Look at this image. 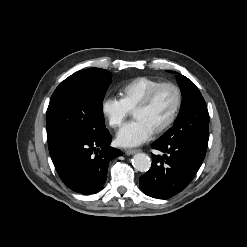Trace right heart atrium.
Returning <instances> with one entry per match:
<instances>
[{
	"instance_id": "obj_1",
	"label": "right heart atrium",
	"mask_w": 247,
	"mask_h": 247,
	"mask_svg": "<svg viewBox=\"0 0 247 247\" xmlns=\"http://www.w3.org/2000/svg\"><path fill=\"white\" fill-rule=\"evenodd\" d=\"M101 112L112 128L121 126L130 113L122 100L114 96H105L102 99Z\"/></svg>"
}]
</instances>
